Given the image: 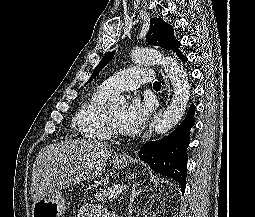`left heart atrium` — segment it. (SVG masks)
Listing matches in <instances>:
<instances>
[{
	"instance_id": "left-heart-atrium-1",
	"label": "left heart atrium",
	"mask_w": 255,
	"mask_h": 217,
	"mask_svg": "<svg viewBox=\"0 0 255 217\" xmlns=\"http://www.w3.org/2000/svg\"><path fill=\"white\" fill-rule=\"evenodd\" d=\"M151 112V105L133 99L125 110L121 120V132L127 135H135L144 127Z\"/></svg>"
}]
</instances>
